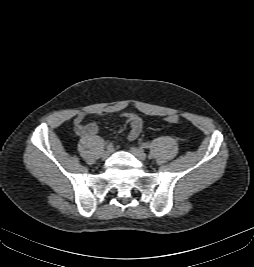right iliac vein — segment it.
<instances>
[{"mask_svg":"<svg viewBox=\"0 0 254 267\" xmlns=\"http://www.w3.org/2000/svg\"><path fill=\"white\" fill-rule=\"evenodd\" d=\"M112 151L113 149H106L105 151H103L101 155L102 159H107L112 153Z\"/></svg>","mask_w":254,"mask_h":267,"instance_id":"right-iliac-vein-1","label":"right iliac vein"}]
</instances>
